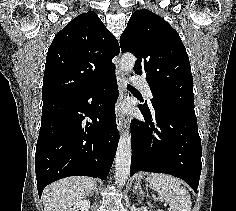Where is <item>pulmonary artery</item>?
<instances>
[{
  "label": "pulmonary artery",
  "instance_id": "1",
  "mask_svg": "<svg viewBox=\"0 0 236 211\" xmlns=\"http://www.w3.org/2000/svg\"><path fill=\"white\" fill-rule=\"evenodd\" d=\"M133 83L144 93L147 99L150 100L153 98L150 87L145 79L136 77L134 78Z\"/></svg>",
  "mask_w": 236,
  "mask_h": 211
}]
</instances>
